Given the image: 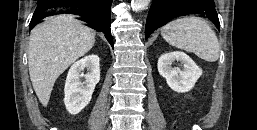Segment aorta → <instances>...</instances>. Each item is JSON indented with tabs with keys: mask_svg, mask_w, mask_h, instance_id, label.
I'll list each match as a JSON object with an SVG mask.
<instances>
[{
	"mask_svg": "<svg viewBox=\"0 0 257 130\" xmlns=\"http://www.w3.org/2000/svg\"><path fill=\"white\" fill-rule=\"evenodd\" d=\"M148 5V0H132L131 6L134 11H139Z\"/></svg>",
	"mask_w": 257,
	"mask_h": 130,
	"instance_id": "1",
	"label": "aorta"
}]
</instances>
